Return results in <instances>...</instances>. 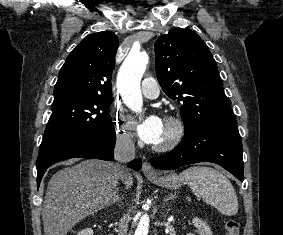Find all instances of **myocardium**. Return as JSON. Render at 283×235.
Listing matches in <instances>:
<instances>
[{"label":"myocardium","instance_id":"myocardium-1","mask_svg":"<svg viewBox=\"0 0 283 235\" xmlns=\"http://www.w3.org/2000/svg\"><path fill=\"white\" fill-rule=\"evenodd\" d=\"M165 123L170 129V134L166 141L152 147L157 152H167L174 149L185 135L186 127L179 117L169 116Z\"/></svg>","mask_w":283,"mask_h":235}]
</instances>
